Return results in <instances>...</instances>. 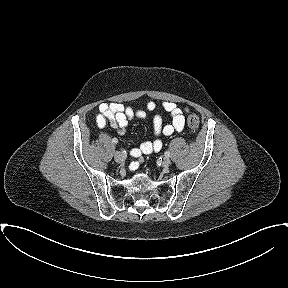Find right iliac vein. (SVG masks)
Segmentation results:
<instances>
[{
  "label": "right iliac vein",
  "instance_id": "right-iliac-vein-1",
  "mask_svg": "<svg viewBox=\"0 0 288 288\" xmlns=\"http://www.w3.org/2000/svg\"><path fill=\"white\" fill-rule=\"evenodd\" d=\"M114 159H115V161L117 163H121L123 161V159H124V156H123V154L121 152L116 151L114 153Z\"/></svg>",
  "mask_w": 288,
  "mask_h": 288
}]
</instances>
